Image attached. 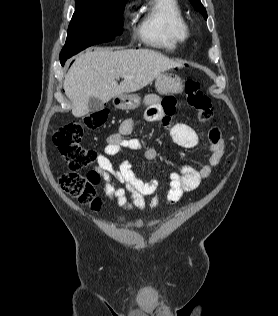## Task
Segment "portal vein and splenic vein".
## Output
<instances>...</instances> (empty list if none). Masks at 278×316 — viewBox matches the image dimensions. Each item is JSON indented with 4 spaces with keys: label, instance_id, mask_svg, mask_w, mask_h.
<instances>
[{
    "label": "portal vein and splenic vein",
    "instance_id": "obj_1",
    "mask_svg": "<svg viewBox=\"0 0 278 316\" xmlns=\"http://www.w3.org/2000/svg\"><path fill=\"white\" fill-rule=\"evenodd\" d=\"M125 79H131V76H125Z\"/></svg>",
    "mask_w": 278,
    "mask_h": 316
}]
</instances>
